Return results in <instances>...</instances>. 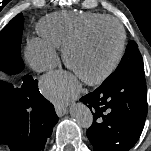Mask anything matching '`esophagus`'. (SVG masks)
<instances>
[{"mask_svg":"<svg viewBox=\"0 0 151 151\" xmlns=\"http://www.w3.org/2000/svg\"><path fill=\"white\" fill-rule=\"evenodd\" d=\"M55 110L58 116H63L68 113V110L65 106L55 105Z\"/></svg>","mask_w":151,"mask_h":151,"instance_id":"1","label":"esophagus"}]
</instances>
